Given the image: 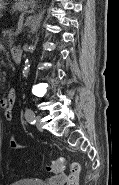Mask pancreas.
Instances as JSON below:
<instances>
[{
  "label": "pancreas",
  "instance_id": "pancreas-1",
  "mask_svg": "<svg viewBox=\"0 0 119 185\" xmlns=\"http://www.w3.org/2000/svg\"><path fill=\"white\" fill-rule=\"evenodd\" d=\"M20 31H21V27H20V28H18V29L16 30V32H12V31H4V32H3V34H4V35H7V34H9V35H12V34L17 35V34H19V33H20Z\"/></svg>",
  "mask_w": 119,
  "mask_h": 185
}]
</instances>
